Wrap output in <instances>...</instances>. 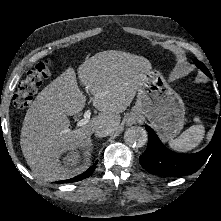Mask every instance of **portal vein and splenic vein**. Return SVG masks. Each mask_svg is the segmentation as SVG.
Returning a JSON list of instances; mask_svg holds the SVG:
<instances>
[{
    "mask_svg": "<svg viewBox=\"0 0 221 221\" xmlns=\"http://www.w3.org/2000/svg\"><path fill=\"white\" fill-rule=\"evenodd\" d=\"M100 96H98V97H100ZM90 117H91V111L90 110H86L84 112V118L77 122V124H76L77 127H81V126L86 125L89 122Z\"/></svg>",
    "mask_w": 221,
    "mask_h": 221,
    "instance_id": "portal-vein-and-splenic-vein-1",
    "label": "portal vein and splenic vein"
}]
</instances>
